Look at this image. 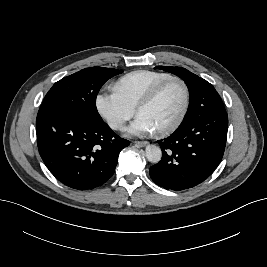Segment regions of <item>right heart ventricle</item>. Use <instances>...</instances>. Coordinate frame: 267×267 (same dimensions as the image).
Segmentation results:
<instances>
[{"label":"right heart ventricle","mask_w":267,"mask_h":267,"mask_svg":"<svg viewBox=\"0 0 267 267\" xmlns=\"http://www.w3.org/2000/svg\"><path fill=\"white\" fill-rule=\"evenodd\" d=\"M170 74L152 70H137L120 77L114 84V91L130 106L136 108L148 91Z\"/></svg>","instance_id":"obj_1"}]
</instances>
